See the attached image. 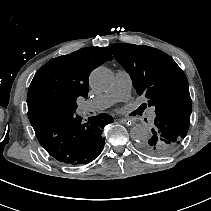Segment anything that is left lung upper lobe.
Returning <instances> with one entry per match:
<instances>
[{
  "instance_id": "left-lung-upper-lobe-1",
  "label": "left lung upper lobe",
  "mask_w": 211,
  "mask_h": 211,
  "mask_svg": "<svg viewBox=\"0 0 211 211\" xmlns=\"http://www.w3.org/2000/svg\"><path fill=\"white\" fill-rule=\"evenodd\" d=\"M129 73L139 95L155 109L152 137L141 144L143 152L164 156L176 151L190 125L192 102L184 72L166 53L145 45L117 43L107 47ZM142 110V112H143ZM146 120V119H145Z\"/></svg>"
}]
</instances>
